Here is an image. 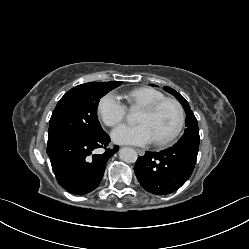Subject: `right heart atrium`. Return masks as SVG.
<instances>
[{
	"instance_id": "1",
	"label": "right heart atrium",
	"mask_w": 249,
	"mask_h": 249,
	"mask_svg": "<svg viewBox=\"0 0 249 249\" xmlns=\"http://www.w3.org/2000/svg\"><path fill=\"white\" fill-rule=\"evenodd\" d=\"M97 112L105 125L116 127L125 120L127 109L115 93L109 92L99 100Z\"/></svg>"
}]
</instances>
